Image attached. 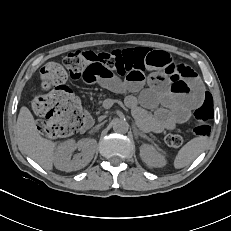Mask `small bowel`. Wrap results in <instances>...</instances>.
<instances>
[{"label":"small bowel","instance_id":"obj_1","mask_svg":"<svg viewBox=\"0 0 231 231\" xmlns=\"http://www.w3.org/2000/svg\"><path fill=\"white\" fill-rule=\"evenodd\" d=\"M150 51L156 55L164 53L152 49ZM181 68L191 87V91L187 93L174 91L157 64L129 74L124 80L114 70L92 64L86 69L82 79L87 84H99L112 92L130 93L125 102L141 126L150 131L161 132L188 121L192 108L203 100V85L195 72L185 65H181ZM145 71L149 73L146 75ZM145 85L148 88L145 89Z\"/></svg>","mask_w":231,"mask_h":231}]
</instances>
